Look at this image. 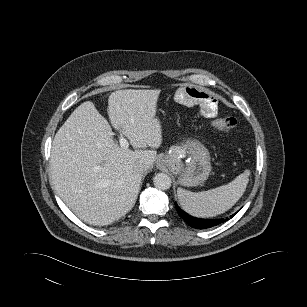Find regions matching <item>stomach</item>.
<instances>
[{"label": "stomach", "instance_id": "0dacf381", "mask_svg": "<svg viewBox=\"0 0 307 307\" xmlns=\"http://www.w3.org/2000/svg\"><path fill=\"white\" fill-rule=\"evenodd\" d=\"M181 144L173 146L169 152L159 157L157 165L167 168L178 175V182L183 186H197L206 181L211 172V157L208 149L188 134L181 136ZM189 160L184 163L182 159Z\"/></svg>", "mask_w": 307, "mask_h": 307}]
</instances>
